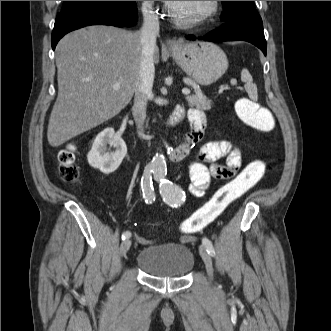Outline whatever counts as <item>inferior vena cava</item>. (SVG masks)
I'll use <instances>...</instances> for the list:
<instances>
[{"instance_id":"inferior-vena-cava-1","label":"inferior vena cava","mask_w":331,"mask_h":331,"mask_svg":"<svg viewBox=\"0 0 331 331\" xmlns=\"http://www.w3.org/2000/svg\"><path fill=\"white\" fill-rule=\"evenodd\" d=\"M143 26L140 30L141 40V63L140 79L135 89L134 105L132 113L139 131H143L146 119L148 99L152 95L154 81L153 54L156 46V37L159 34V20L155 12L150 8H143Z\"/></svg>"}]
</instances>
